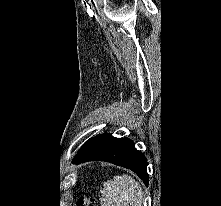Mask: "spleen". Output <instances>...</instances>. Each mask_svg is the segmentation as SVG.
Returning <instances> with one entry per match:
<instances>
[{
	"mask_svg": "<svg viewBox=\"0 0 221 206\" xmlns=\"http://www.w3.org/2000/svg\"><path fill=\"white\" fill-rule=\"evenodd\" d=\"M101 193L102 206H142V187L128 175L114 176Z\"/></svg>",
	"mask_w": 221,
	"mask_h": 206,
	"instance_id": "3e777b00",
	"label": "spleen"
}]
</instances>
